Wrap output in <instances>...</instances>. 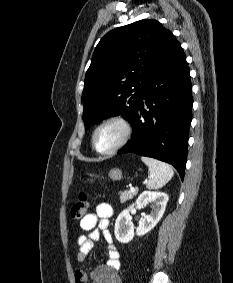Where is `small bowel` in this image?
I'll use <instances>...</instances> for the list:
<instances>
[{
  "label": "small bowel",
  "mask_w": 233,
  "mask_h": 283,
  "mask_svg": "<svg viewBox=\"0 0 233 283\" xmlns=\"http://www.w3.org/2000/svg\"><path fill=\"white\" fill-rule=\"evenodd\" d=\"M112 215L113 209L111 205L100 203L97 205L94 213L87 214L80 222V227L85 233L81 234L77 241V260L79 262L85 261L93 249L94 242L100 239V232H102L108 252L107 263L91 272L92 283H122L119 275L120 254L114 245L113 236L109 229ZM86 280L87 275L85 272H75L76 283H86Z\"/></svg>",
  "instance_id": "obj_1"
}]
</instances>
